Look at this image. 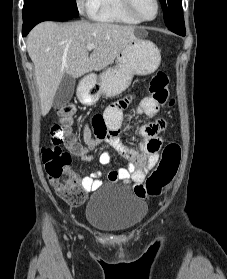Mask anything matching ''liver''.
Returning <instances> with one entry per match:
<instances>
[{"mask_svg": "<svg viewBox=\"0 0 227 279\" xmlns=\"http://www.w3.org/2000/svg\"><path fill=\"white\" fill-rule=\"evenodd\" d=\"M136 27L79 21L59 24L46 21L29 33L26 44L34 63L41 114L49 113L62 77H81L108 67L120 51L136 39ZM95 48L89 55L87 45Z\"/></svg>", "mask_w": 227, "mask_h": 279, "instance_id": "obj_1", "label": "liver"}]
</instances>
